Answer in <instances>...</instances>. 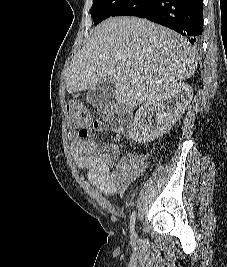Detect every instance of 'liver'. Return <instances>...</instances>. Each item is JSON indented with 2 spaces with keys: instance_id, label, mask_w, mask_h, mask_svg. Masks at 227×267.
<instances>
[{
  "instance_id": "liver-1",
  "label": "liver",
  "mask_w": 227,
  "mask_h": 267,
  "mask_svg": "<svg viewBox=\"0 0 227 267\" xmlns=\"http://www.w3.org/2000/svg\"><path fill=\"white\" fill-rule=\"evenodd\" d=\"M196 49L178 33L136 17L109 18L93 29L68 69V93L115 82L114 98L137 106L197 68ZM126 70L135 77L125 75Z\"/></svg>"
}]
</instances>
